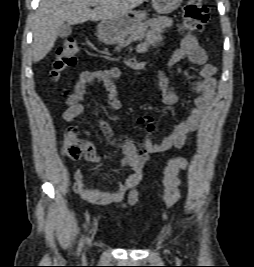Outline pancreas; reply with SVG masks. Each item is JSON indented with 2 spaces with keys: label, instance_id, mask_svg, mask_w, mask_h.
<instances>
[{
  "label": "pancreas",
  "instance_id": "obj_1",
  "mask_svg": "<svg viewBox=\"0 0 254 267\" xmlns=\"http://www.w3.org/2000/svg\"><path fill=\"white\" fill-rule=\"evenodd\" d=\"M145 32V26L143 24L139 25L131 34V36L123 42H120L116 47V50H120L121 47H125L126 45L130 44L134 40H139L143 37Z\"/></svg>",
  "mask_w": 254,
  "mask_h": 267
}]
</instances>
